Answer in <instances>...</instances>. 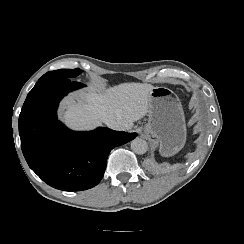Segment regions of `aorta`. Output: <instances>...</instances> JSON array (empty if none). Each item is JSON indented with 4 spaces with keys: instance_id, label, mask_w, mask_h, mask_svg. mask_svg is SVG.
I'll use <instances>...</instances> for the list:
<instances>
[{
    "instance_id": "aorta-1",
    "label": "aorta",
    "mask_w": 244,
    "mask_h": 244,
    "mask_svg": "<svg viewBox=\"0 0 244 244\" xmlns=\"http://www.w3.org/2000/svg\"><path fill=\"white\" fill-rule=\"evenodd\" d=\"M131 149L137 154H145L148 150V145L144 139L135 138L131 141Z\"/></svg>"
}]
</instances>
